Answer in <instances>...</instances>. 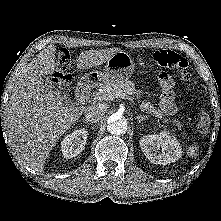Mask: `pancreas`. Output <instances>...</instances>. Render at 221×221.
I'll return each instance as SVG.
<instances>
[{
  "mask_svg": "<svg viewBox=\"0 0 221 221\" xmlns=\"http://www.w3.org/2000/svg\"><path fill=\"white\" fill-rule=\"evenodd\" d=\"M135 91V85L131 81H125L122 83H106L101 86V91L97 92L96 96L100 100L110 101L116 97V93L118 92L133 95ZM139 108L159 119L163 118V113L160 110H156L148 101H142L141 104H139ZM165 122H167V119H165ZM173 124H176L178 129L182 128V125L177 120H173Z\"/></svg>",
  "mask_w": 221,
  "mask_h": 221,
  "instance_id": "pancreas-1",
  "label": "pancreas"
}]
</instances>
